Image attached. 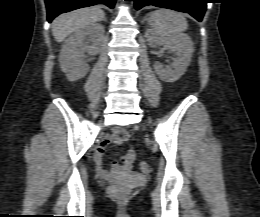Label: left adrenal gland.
Listing matches in <instances>:
<instances>
[{
    "label": "left adrenal gland",
    "instance_id": "left-adrenal-gland-1",
    "mask_svg": "<svg viewBox=\"0 0 260 217\" xmlns=\"http://www.w3.org/2000/svg\"><path fill=\"white\" fill-rule=\"evenodd\" d=\"M146 20H148V18H147V17H145V18H144V21H146Z\"/></svg>",
    "mask_w": 260,
    "mask_h": 217
}]
</instances>
